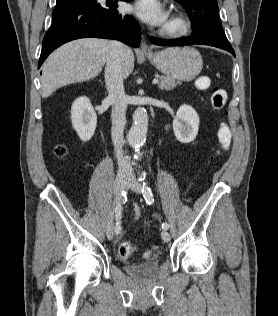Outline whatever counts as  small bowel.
Segmentation results:
<instances>
[{"label":"small bowel","mask_w":278,"mask_h":316,"mask_svg":"<svg viewBox=\"0 0 278 316\" xmlns=\"http://www.w3.org/2000/svg\"><path fill=\"white\" fill-rule=\"evenodd\" d=\"M134 211H135V219H138L140 216V208L137 205H134Z\"/></svg>","instance_id":"small-bowel-1"}]
</instances>
